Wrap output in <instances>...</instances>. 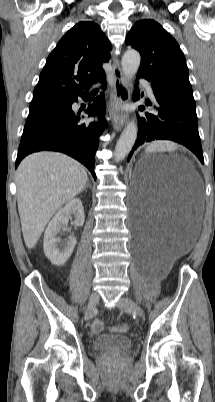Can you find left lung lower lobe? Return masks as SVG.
<instances>
[{
  "label": "left lung lower lobe",
  "mask_w": 215,
  "mask_h": 402,
  "mask_svg": "<svg viewBox=\"0 0 215 402\" xmlns=\"http://www.w3.org/2000/svg\"><path fill=\"white\" fill-rule=\"evenodd\" d=\"M137 78L141 77L137 76ZM137 84L138 82H136V91L133 94V98L136 100L139 99ZM152 89L156 104L152 105L150 102H146L147 106H152V111L137 114L138 136L128 156V161L133 151L140 145L156 139H166L186 146L198 157L201 163H204L196 107L169 97L154 87ZM144 109V106L139 107L140 111Z\"/></svg>",
  "instance_id": "0a47b994"
}]
</instances>
